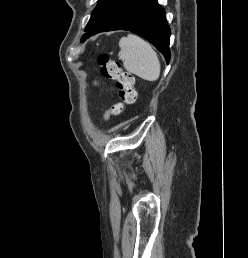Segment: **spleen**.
Listing matches in <instances>:
<instances>
[{
	"label": "spleen",
	"instance_id": "1",
	"mask_svg": "<svg viewBox=\"0 0 248 258\" xmlns=\"http://www.w3.org/2000/svg\"><path fill=\"white\" fill-rule=\"evenodd\" d=\"M119 58L124 68L146 80L156 81L160 76V62L151 45L134 34H128L119 41Z\"/></svg>",
	"mask_w": 248,
	"mask_h": 258
}]
</instances>
